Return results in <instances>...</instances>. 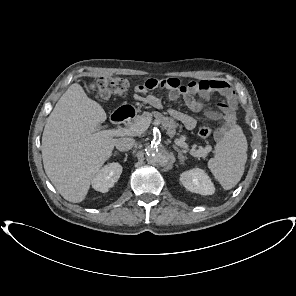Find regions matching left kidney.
<instances>
[{
  "mask_svg": "<svg viewBox=\"0 0 296 296\" xmlns=\"http://www.w3.org/2000/svg\"><path fill=\"white\" fill-rule=\"evenodd\" d=\"M180 181L190 192L201 195H212L215 192V187L211 179L200 168L183 172L180 176Z\"/></svg>",
  "mask_w": 296,
  "mask_h": 296,
  "instance_id": "1",
  "label": "left kidney"
}]
</instances>
